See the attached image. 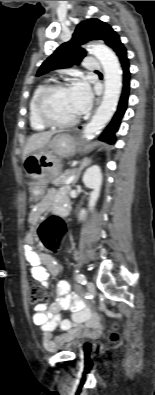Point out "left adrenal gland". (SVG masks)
<instances>
[{
  "label": "left adrenal gland",
  "mask_w": 155,
  "mask_h": 395,
  "mask_svg": "<svg viewBox=\"0 0 155 395\" xmlns=\"http://www.w3.org/2000/svg\"><path fill=\"white\" fill-rule=\"evenodd\" d=\"M91 162H92V160H91L90 158H84V159L79 163V166H78V168H77V170H76L77 175H76L75 179H74L73 182H72V186H74V185L76 184V182L78 181V179H79V177H80V174H81V171H82L85 167L89 166V165L91 164Z\"/></svg>",
  "instance_id": "1"
}]
</instances>
